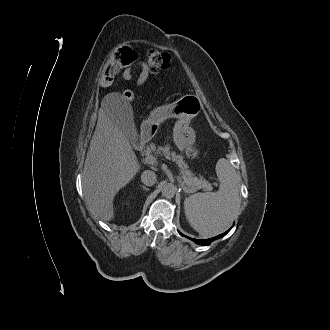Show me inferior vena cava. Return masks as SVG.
I'll return each mask as SVG.
<instances>
[{
	"label": "inferior vena cava",
	"instance_id": "1",
	"mask_svg": "<svg viewBox=\"0 0 330 330\" xmlns=\"http://www.w3.org/2000/svg\"><path fill=\"white\" fill-rule=\"evenodd\" d=\"M141 181L146 186H153L157 181V176L153 171L145 170L141 175Z\"/></svg>",
	"mask_w": 330,
	"mask_h": 330
}]
</instances>
